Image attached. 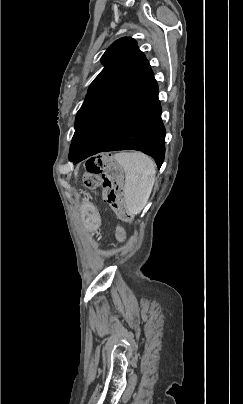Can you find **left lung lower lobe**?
<instances>
[{"instance_id": "0a47b994", "label": "left lung lower lobe", "mask_w": 243, "mask_h": 404, "mask_svg": "<svg viewBox=\"0 0 243 404\" xmlns=\"http://www.w3.org/2000/svg\"><path fill=\"white\" fill-rule=\"evenodd\" d=\"M161 112L158 85L152 76L99 116L69 160L76 164L99 152L133 149L150 155L160 168L165 154Z\"/></svg>"}]
</instances>
